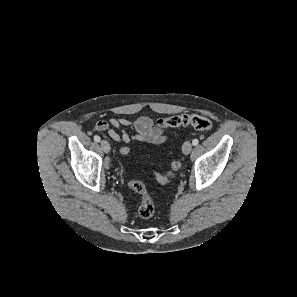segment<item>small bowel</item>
I'll list each match as a JSON object with an SVG mask.
<instances>
[{
  "instance_id": "obj_1",
  "label": "small bowel",
  "mask_w": 297,
  "mask_h": 297,
  "mask_svg": "<svg viewBox=\"0 0 297 297\" xmlns=\"http://www.w3.org/2000/svg\"><path fill=\"white\" fill-rule=\"evenodd\" d=\"M95 129L107 132L118 143L128 144L132 139L139 142L161 144L166 141L163 129L153 119L142 116L134 121L125 118H109L98 121ZM134 131V134H131Z\"/></svg>"
}]
</instances>
